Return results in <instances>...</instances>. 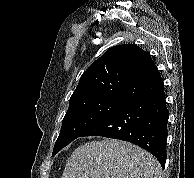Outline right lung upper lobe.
Returning <instances> with one entry per match:
<instances>
[{
	"instance_id": "1",
	"label": "right lung upper lobe",
	"mask_w": 194,
	"mask_h": 178,
	"mask_svg": "<svg viewBox=\"0 0 194 178\" xmlns=\"http://www.w3.org/2000/svg\"><path fill=\"white\" fill-rule=\"evenodd\" d=\"M163 87V80L149 53L135 44L109 48L83 73L70 102L111 98L124 102Z\"/></svg>"
}]
</instances>
